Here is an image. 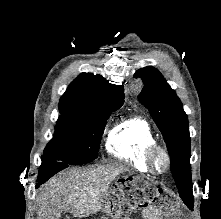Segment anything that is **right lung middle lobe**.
<instances>
[{
    "instance_id": "right-lung-middle-lobe-1",
    "label": "right lung middle lobe",
    "mask_w": 221,
    "mask_h": 219,
    "mask_svg": "<svg viewBox=\"0 0 221 219\" xmlns=\"http://www.w3.org/2000/svg\"><path fill=\"white\" fill-rule=\"evenodd\" d=\"M109 116L79 118L60 115L53 138L44 149L41 160L68 165L93 161L98 155L101 135Z\"/></svg>"
}]
</instances>
